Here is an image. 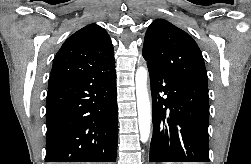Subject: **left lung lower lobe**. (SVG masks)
Listing matches in <instances>:
<instances>
[{
	"mask_svg": "<svg viewBox=\"0 0 251 164\" xmlns=\"http://www.w3.org/2000/svg\"><path fill=\"white\" fill-rule=\"evenodd\" d=\"M148 70L153 115L149 161L209 162L208 86L155 67Z\"/></svg>",
	"mask_w": 251,
	"mask_h": 164,
	"instance_id": "0a47b994",
	"label": "left lung lower lobe"
}]
</instances>
